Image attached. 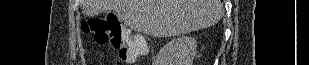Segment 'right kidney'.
<instances>
[{
    "mask_svg": "<svg viewBox=\"0 0 309 65\" xmlns=\"http://www.w3.org/2000/svg\"><path fill=\"white\" fill-rule=\"evenodd\" d=\"M197 42L194 37L173 38L163 46L157 55L156 65H192L196 55Z\"/></svg>",
    "mask_w": 309,
    "mask_h": 65,
    "instance_id": "obj_1",
    "label": "right kidney"
}]
</instances>
